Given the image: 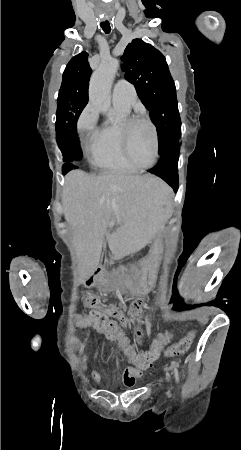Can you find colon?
<instances>
[{
    "instance_id": "obj_1",
    "label": "colon",
    "mask_w": 241,
    "mask_h": 450,
    "mask_svg": "<svg viewBox=\"0 0 241 450\" xmlns=\"http://www.w3.org/2000/svg\"><path fill=\"white\" fill-rule=\"evenodd\" d=\"M80 324L82 326L94 325L96 328L100 329V332L106 336L111 337L113 342L117 343L119 348H122L124 353H129L131 351V346L128 344V338L125 336L123 332L117 330L114 325L105 322V319L99 313L89 312L80 317ZM167 336L172 334L170 329L165 331ZM164 336V335H163ZM163 336H157L155 341L150 344V350H132L131 357L132 363L136 364L137 360L140 359V363L138 364V369L140 371H147L149 369V365L151 364V359H156L159 353V345H163L165 343V338ZM193 335H189L185 337L183 340H179L175 347H166L164 349L163 355L166 356H181L187 353V348L193 345Z\"/></svg>"
}]
</instances>
